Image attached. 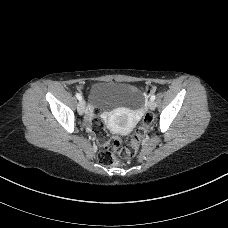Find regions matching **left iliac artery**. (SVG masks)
<instances>
[{
	"label": "left iliac artery",
	"instance_id": "left-iliac-artery-1",
	"mask_svg": "<svg viewBox=\"0 0 228 228\" xmlns=\"http://www.w3.org/2000/svg\"><path fill=\"white\" fill-rule=\"evenodd\" d=\"M155 98H156V96H155V94H153L150 99L155 100Z\"/></svg>",
	"mask_w": 228,
	"mask_h": 228
}]
</instances>
